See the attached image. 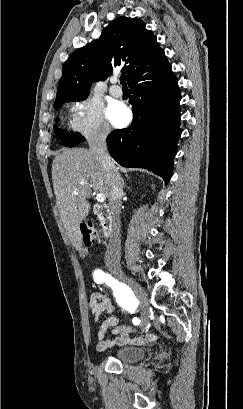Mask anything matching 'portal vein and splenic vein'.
Segmentation results:
<instances>
[{"label": "portal vein and splenic vein", "instance_id": "obj_1", "mask_svg": "<svg viewBox=\"0 0 243 409\" xmlns=\"http://www.w3.org/2000/svg\"><path fill=\"white\" fill-rule=\"evenodd\" d=\"M74 194L75 195H77L78 193H77V191H74ZM105 199H106V196H105V194H103V193H98L97 195H96V200L98 201V202H104L105 201Z\"/></svg>", "mask_w": 243, "mask_h": 409}]
</instances>
